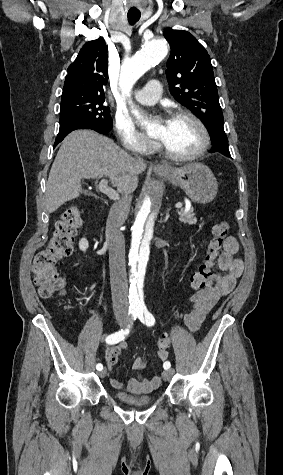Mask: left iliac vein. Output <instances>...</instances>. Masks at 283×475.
<instances>
[{
	"label": "left iliac vein",
	"instance_id": "obj_1",
	"mask_svg": "<svg viewBox=\"0 0 283 475\" xmlns=\"http://www.w3.org/2000/svg\"><path fill=\"white\" fill-rule=\"evenodd\" d=\"M173 374H174V370H164L162 372V378L164 381H168L171 379Z\"/></svg>",
	"mask_w": 283,
	"mask_h": 475
}]
</instances>
